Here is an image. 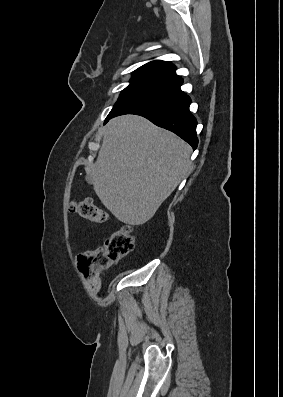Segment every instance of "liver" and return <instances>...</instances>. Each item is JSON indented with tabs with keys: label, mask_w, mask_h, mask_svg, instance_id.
I'll return each mask as SVG.
<instances>
[{
	"label": "liver",
	"mask_w": 283,
	"mask_h": 397,
	"mask_svg": "<svg viewBox=\"0 0 283 397\" xmlns=\"http://www.w3.org/2000/svg\"><path fill=\"white\" fill-rule=\"evenodd\" d=\"M192 148L147 119L124 115L105 127L87 170L103 205L121 222L142 225L188 174Z\"/></svg>",
	"instance_id": "obj_1"
}]
</instances>
